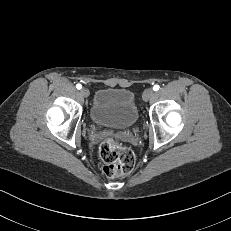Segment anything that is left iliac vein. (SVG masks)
<instances>
[{
    "instance_id": "1",
    "label": "left iliac vein",
    "mask_w": 231,
    "mask_h": 231,
    "mask_svg": "<svg viewBox=\"0 0 231 231\" xmlns=\"http://www.w3.org/2000/svg\"><path fill=\"white\" fill-rule=\"evenodd\" d=\"M154 95V91L151 88L146 89L143 92L142 98L145 102L149 101Z\"/></svg>"
}]
</instances>
